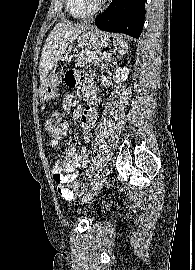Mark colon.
<instances>
[{"label":"colon","instance_id":"5ec220e1","mask_svg":"<svg viewBox=\"0 0 195 270\" xmlns=\"http://www.w3.org/2000/svg\"><path fill=\"white\" fill-rule=\"evenodd\" d=\"M60 114L58 112H53L46 120L45 127L47 130L55 128L60 122ZM67 188L76 194H82L84 192V186L80 183H74L67 186Z\"/></svg>","mask_w":195,"mask_h":270}]
</instances>
